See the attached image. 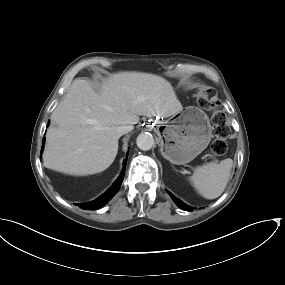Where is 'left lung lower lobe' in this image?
<instances>
[{"label": "left lung lower lobe", "mask_w": 285, "mask_h": 285, "mask_svg": "<svg viewBox=\"0 0 285 285\" xmlns=\"http://www.w3.org/2000/svg\"><path fill=\"white\" fill-rule=\"evenodd\" d=\"M169 194H170L171 198L173 199V201L175 202V204H176L179 208H181V209H183V210H185V211H191V210H192L191 207H189L188 205H186L185 203H183L181 200L177 199V198H176L174 195H172L170 192H169Z\"/></svg>", "instance_id": "0a47b994"}]
</instances>
